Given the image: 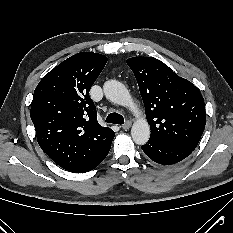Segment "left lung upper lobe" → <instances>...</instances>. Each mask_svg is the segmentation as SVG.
I'll use <instances>...</instances> for the list:
<instances>
[{"mask_svg":"<svg viewBox=\"0 0 233 233\" xmlns=\"http://www.w3.org/2000/svg\"><path fill=\"white\" fill-rule=\"evenodd\" d=\"M127 64L139 85L150 138L193 151L206 124L199 89L153 57H132Z\"/></svg>","mask_w":233,"mask_h":233,"instance_id":"left-lung-upper-lobe-1","label":"left lung upper lobe"}]
</instances>
